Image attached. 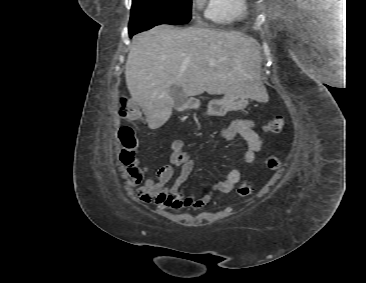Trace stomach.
I'll use <instances>...</instances> for the list:
<instances>
[{
  "label": "stomach",
  "instance_id": "obj_1",
  "mask_svg": "<svg viewBox=\"0 0 366 283\" xmlns=\"http://www.w3.org/2000/svg\"><path fill=\"white\" fill-rule=\"evenodd\" d=\"M250 97L238 93H226L222 99L211 100L207 105V115L224 116L228 111L244 108L248 105ZM193 108H198L195 103Z\"/></svg>",
  "mask_w": 366,
  "mask_h": 283
}]
</instances>
